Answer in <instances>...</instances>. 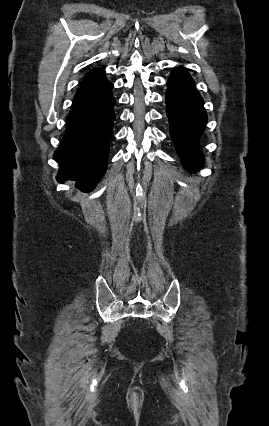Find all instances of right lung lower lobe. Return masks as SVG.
<instances>
[{
  "label": "right lung lower lobe",
  "mask_w": 269,
  "mask_h": 426,
  "mask_svg": "<svg viewBox=\"0 0 269 426\" xmlns=\"http://www.w3.org/2000/svg\"><path fill=\"white\" fill-rule=\"evenodd\" d=\"M112 89L104 71L86 75L74 97L66 134L54 153L59 163L58 180H77L84 192L96 186L107 168L115 120Z\"/></svg>",
  "instance_id": "98d812e1"
}]
</instances>
